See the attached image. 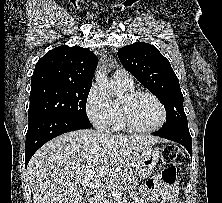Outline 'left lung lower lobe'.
Instances as JSON below:
<instances>
[{
  "label": "left lung lower lobe",
  "instance_id": "left-lung-lower-lobe-1",
  "mask_svg": "<svg viewBox=\"0 0 222 203\" xmlns=\"http://www.w3.org/2000/svg\"><path fill=\"white\" fill-rule=\"evenodd\" d=\"M153 135L175 141L181 145H183L192 156V139L189 133V130L184 129H170V130H159L157 132H153Z\"/></svg>",
  "mask_w": 222,
  "mask_h": 203
}]
</instances>
